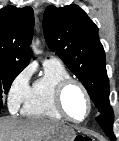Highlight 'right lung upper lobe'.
I'll list each match as a JSON object with an SVG mask.
<instances>
[{"label":"right lung upper lobe","mask_w":119,"mask_h":141,"mask_svg":"<svg viewBox=\"0 0 119 141\" xmlns=\"http://www.w3.org/2000/svg\"><path fill=\"white\" fill-rule=\"evenodd\" d=\"M33 26L31 7L0 9V70L22 71L29 64Z\"/></svg>","instance_id":"cb5924a9"}]
</instances>
